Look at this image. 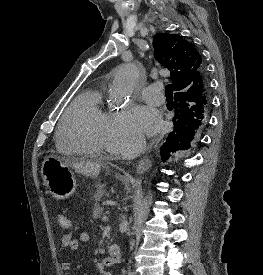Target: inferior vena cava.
<instances>
[{
    "label": "inferior vena cava",
    "instance_id": "obj_1",
    "mask_svg": "<svg viewBox=\"0 0 263 275\" xmlns=\"http://www.w3.org/2000/svg\"><path fill=\"white\" fill-rule=\"evenodd\" d=\"M145 148H146L145 137L138 136L130 148L124 149L122 151V156L124 159H127V160L134 159L140 153H142L145 150ZM128 275H133V273L129 270Z\"/></svg>",
    "mask_w": 263,
    "mask_h": 275
}]
</instances>
